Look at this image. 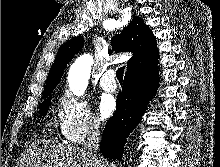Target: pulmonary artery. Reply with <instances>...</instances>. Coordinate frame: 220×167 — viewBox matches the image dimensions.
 <instances>
[{
	"instance_id": "pulmonary-artery-1",
	"label": "pulmonary artery",
	"mask_w": 220,
	"mask_h": 167,
	"mask_svg": "<svg viewBox=\"0 0 220 167\" xmlns=\"http://www.w3.org/2000/svg\"><path fill=\"white\" fill-rule=\"evenodd\" d=\"M100 86L107 92H114L117 88L114 70H107L100 78Z\"/></svg>"
}]
</instances>
